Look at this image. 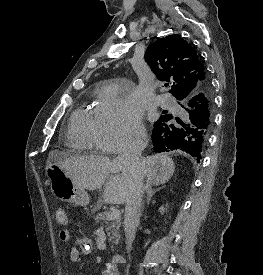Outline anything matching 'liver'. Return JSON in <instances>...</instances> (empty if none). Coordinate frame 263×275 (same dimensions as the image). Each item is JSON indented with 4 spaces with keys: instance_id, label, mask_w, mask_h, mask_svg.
Returning <instances> with one entry per match:
<instances>
[{
    "instance_id": "6515ba94",
    "label": "liver",
    "mask_w": 263,
    "mask_h": 275,
    "mask_svg": "<svg viewBox=\"0 0 263 275\" xmlns=\"http://www.w3.org/2000/svg\"><path fill=\"white\" fill-rule=\"evenodd\" d=\"M48 159L64 170L78 187L94 191L104 185L103 199L106 203H125L128 182L120 174L122 169L116 159L100 155L67 157L58 151L50 152ZM140 167L147 185L151 186L169 181L175 170L172 158L165 154L143 157Z\"/></svg>"
}]
</instances>
